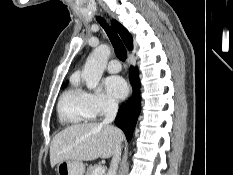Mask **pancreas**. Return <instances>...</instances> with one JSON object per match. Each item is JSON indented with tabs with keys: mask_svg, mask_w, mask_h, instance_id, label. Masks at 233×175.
I'll return each mask as SVG.
<instances>
[{
	"mask_svg": "<svg viewBox=\"0 0 233 175\" xmlns=\"http://www.w3.org/2000/svg\"><path fill=\"white\" fill-rule=\"evenodd\" d=\"M98 166L97 165H90L88 168H87V172H86V175H93V172L94 170L97 168Z\"/></svg>",
	"mask_w": 233,
	"mask_h": 175,
	"instance_id": "obj_1",
	"label": "pancreas"
}]
</instances>
